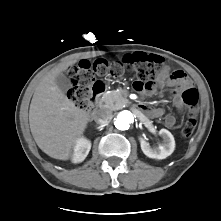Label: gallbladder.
I'll return each instance as SVG.
<instances>
[{
	"instance_id": "bac80fb5",
	"label": "gallbladder",
	"mask_w": 221,
	"mask_h": 221,
	"mask_svg": "<svg viewBox=\"0 0 221 221\" xmlns=\"http://www.w3.org/2000/svg\"><path fill=\"white\" fill-rule=\"evenodd\" d=\"M57 86L63 91L66 92L71 88V82L64 74H59L56 77Z\"/></svg>"
}]
</instances>
